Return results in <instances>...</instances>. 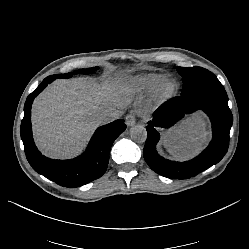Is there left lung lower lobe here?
Listing matches in <instances>:
<instances>
[{"label":"left lung lower lobe","mask_w":249,"mask_h":249,"mask_svg":"<svg viewBox=\"0 0 249 249\" xmlns=\"http://www.w3.org/2000/svg\"><path fill=\"white\" fill-rule=\"evenodd\" d=\"M204 111L212 123L213 137L209 146L196 158L174 162L162 158L156 151L160 135L156 127L168 128L185 114ZM233 117L228 107V96L223 86H208L188 94H181L163 103L148 123L147 140L143 155L156 173L170 179H188L218 163L229 146V133Z\"/></svg>","instance_id":"0a47b994"}]
</instances>
